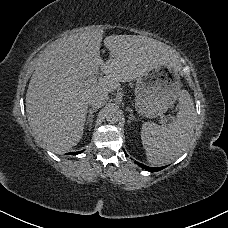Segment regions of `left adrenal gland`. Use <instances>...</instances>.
<instances>
[{"instance_id": "obj_1", "label": "left adrenal gland", "mask_w": 228, "mask_h": 228, "mask_svg": "<svg viewBox=\"0 0 228 228\" xmlns=\"http://www.w3.org/2000/svg\"><path fill=\"white\" fill-rule=\"evenodd\" d=\"M129 112H130V116L128 118L129 119L128 125L131 126L132 122H135L137 120L135 119V117L133 115V111L132 110H129Z\"/></svg>"}]
</instances>
